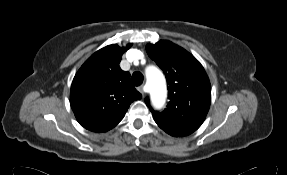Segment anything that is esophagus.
<instances>
[{
    "instance_id": "1",
    "label": "esophagus",
    "mask_w": 287,
    "mask_h": 175,
    "mask_svg": "<svg viewBox=\"0 0 287 175\" xmlns=\"http://www.w3.org/2000/svg\"><path fill=\"white\" fill-rule=\"evenodd\" d=\"M139 92L142 93L143 97L145 96L144 88L143 86L138 87Z\"/></svg>"
}]
</instances>
